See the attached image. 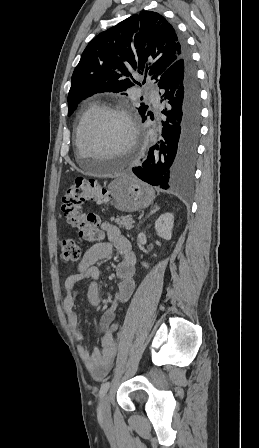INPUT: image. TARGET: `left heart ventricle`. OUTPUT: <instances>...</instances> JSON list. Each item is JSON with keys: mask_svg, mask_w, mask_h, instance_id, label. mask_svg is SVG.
<instances>
[{"mask_svg": "<svg viewBox=\"0 0 259 448\" xmlns=\"http://www.w3.org/2000/svg\"><path fill=\"white\" fill-rule=\"evenodd\" d=\"M130 130L126 120L119 114L102 117L90 130L89 149L82 152L83 162H103L119 155L118 149L129 140Z\"/></svg>", "mask_w": 259, "mask_h": 448, "instance_id": "b2bd125f", "label": "left heart ventricle"}]
</instances>
